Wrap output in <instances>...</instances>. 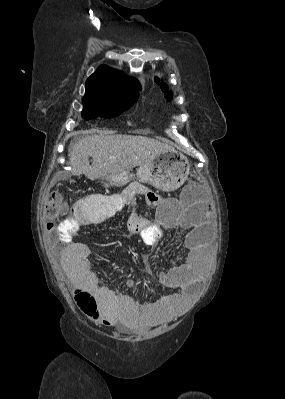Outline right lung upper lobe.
<instances>
[{
  "instance_id": "right-lung-upper-lobe-1",
  "label": "right lung upper lobe",
  "mask_w": 285,
  "mask_h": 399,
  "mask_svg": "<svg viewBox=\"0 0 285 399\" xmlns=\"http://www.w3.org/2000/svg\"><path fill=\"white\" fill-rule=\"evenodd\" d=\"M141 86L137 80L121 71L101 65L86 81V93L82 99H110L139 95Z\"/></svg>"
}]
</instances>
